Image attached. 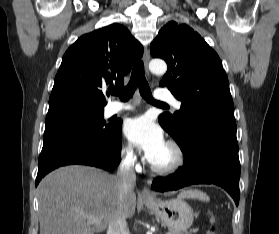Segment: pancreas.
I'll return each instance as SVG.
<instances>
[{"mask_svg":"<svg viewBox=\"0 0 279 234\" xmlns=\"http://www.w3.org/2000/svg\"><path fill=\"white\" fill-rule=\"evenodd\" d=\"M167 234H177L176 232L172 231V232H169Z\"/></svg>","mask_w":279,"mask_h":234,"instance_id":"obj_1","label":"pancreas"}]
</instances>
